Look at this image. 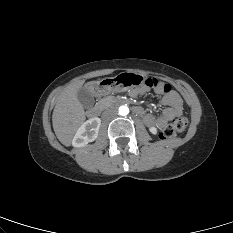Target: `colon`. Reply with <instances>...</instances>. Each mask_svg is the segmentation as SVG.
<instances>
[{"label":"colon","mask_w":233,"mask_h":233,"mask_svg":"<svg viewBox=\"0 0 233 233\" xmlns=\"http://www.w3.org/2000/svg\"><path fill=\"white\" fill-rule=\"evenodd\" d=\"M145 86L148 88H159L163 92H167L171 89L170 85L158 80L156 78H148L144 82ZM188 125V121L185 117H179L168 124L161 132L162 139H170L176 135V133L183 132Z\"/></svg>","instance_id":"1"}]
</instances>
